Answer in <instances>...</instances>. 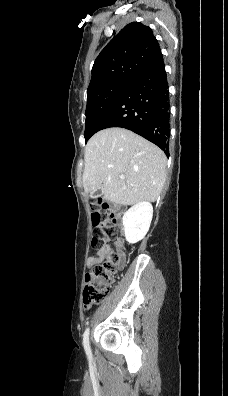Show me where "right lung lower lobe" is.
<instances>
[{
	"mask_svg": "<svg viewBox=\"0 0 228 396\" xmlns=\"http://www.w3.org/2000/svg\"><path fill=\"white\" fill-rule=\"evenodd\" d=\"M170 108L162 53L122 92L96 125L129 129L160 147L168 156Z\"/></svg>",
	"mask_w": 228,
	"mask_h": 396,
	"instance_id": "right-lung-lower-lobe-1",
	"label": "right lung lower lobe"
}]
</instances>
